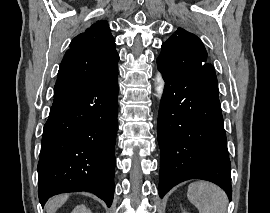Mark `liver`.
Returning a JSON list of instances; mask_svg holds the SVG:
<instances>
[{
	"label": "liver",
	"mask_w": 270,
	"mask_h": 213,
	"mask_svg": "<svg viewBox=\"0 0 270 213\" xmlns=\"http://www.w3.org/2000/svg\"><path fill=\"white\" fill-rule=\"evenodd\" d=\"M68 199V195H61L50 199L46 204L47 213H55Z\"/></svg>",
	"instance_id": "1"
}]
</instances>
